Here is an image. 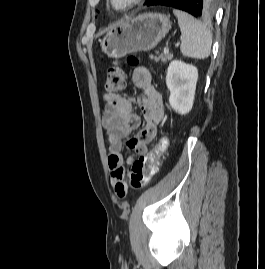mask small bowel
<instances>
[{
	"instance_id": "1",
	"label": "small bowel",
	"mask_w": 265,
	"mask_h": 269,
	"mask_svg": "<svg viewBox=\"0 0 265 269\" xmlns=\"http://www.w3.org/2000/svg\"><path fill=\"white\" fill-rule=\"evenodd\" d=\"M133 81L140 91L138 97H122L111 93H105L103 96L105 108L102 125L108 139L110 181L116 193L119 186H126L122 157L123 142L132 150L133 155L144 154L156 136L158 125L164 116L162 96L154 87L149 70L137 67L133 71ZM133 102L140 105L145 121L144 128L135 136L131 134L139 128L141 117L134 113Z\"/></svg>"
}]
</instances>
